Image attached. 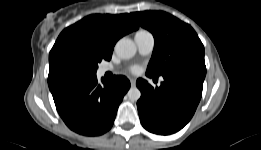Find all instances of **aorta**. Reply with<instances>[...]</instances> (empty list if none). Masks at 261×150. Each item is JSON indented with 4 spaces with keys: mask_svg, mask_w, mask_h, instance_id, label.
<instances>
[{
    "mask_svg": "<svg viewBox=\"0 0 261 150\" xmlns=\"http://www.w3.org/2000/svg\"><path fill=\"white\" fill-rule=\"evenodd\" d=\"M115 52L122 59H130L136 53L135 43L128 38H122L116 43ZM127 96L131 101H137L141 97V92L137 87H131Z\"/></svg>",
    "mask_w": 261,
    "mask_h": 150,
    "instance_id": "762f6f07",
    "label": "aorta"
}]
</instances>
